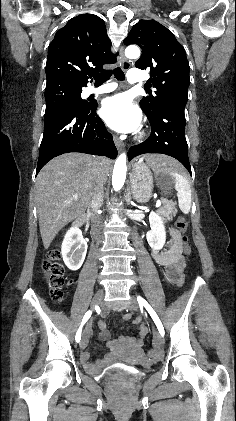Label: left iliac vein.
<instances>
[{"label":"left iliac vein","mask_w":236,"mask_h":421,"mask_svg":"<svg viewBox=\"0 0 236 421\" xmlns=\"http://www.w3.org/2000/svg\"><path fill=\"white\" fill-rule=\"evenodd\" d=\"M128 307L133 312L138 310V302L134 297H131ZM153 344L156 347H161L163 345V337L156 328L153 329Z\"/></svg>","instance_id":"left-iliac-vein-1"}]
</instances>
